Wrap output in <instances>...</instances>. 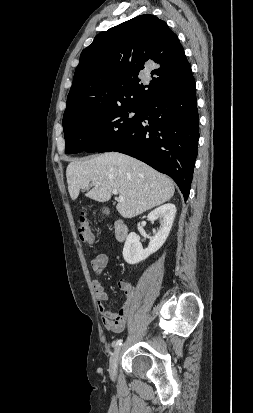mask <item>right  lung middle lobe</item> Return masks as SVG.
<instances>
[{
  "label": "right lung middle lobe",
  "mask_w": 253,
  "mask_h": 413,
  "mask_svg": "<svg viewBox=\"0 0 253 413\" xmlns=\"http://www.w3.org/2000/svg\"><path fill=\"white\" fill-rule=\"evenodd\" d=\"M139 118V108L120 107L73 119L63 124L65 153L99 152L131 131Z\"/></svg>",
  "instance_id": "obj_1"
}]
</instances>
